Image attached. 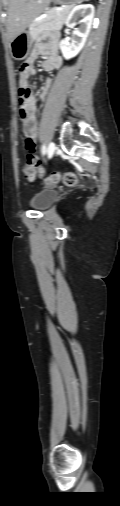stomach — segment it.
I'll return each mask as SVG.
<instances>
[{"mask_svg": "<svg viewBox=\"0 0 120 506\" xmlns=\"http://www.w3.org/2000/svg\"><path fill=\"white\" fill-rule=\"evenodd\" d=\"M55 4L72 7L80 0H52ZM33 44V37L29 31L24 30L10 42L11 54L15 60L21 61L27 58Z\"/></svg>", "mask_w": 120, "mask_h": 506, "instance_id": "1", "label": "stomach"}]
</instances>
